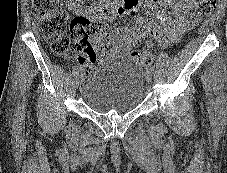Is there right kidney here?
<instances>
[{
  "label": "right kidney",
  "instance_id": "obj_1",
  "mask_svg": "<svg viewBox=\"0 0 227 173\" xmlns=\"http://www.w3.org/2000/svg\"><path fill=\"white\" fill-rule=\"evenodd\" d=\"M83 0H67V6L70 11L78 12L82 10Z\"/></svg>",
  "mask_w": 227,
  "mask_h": 173
}]
</instances>
